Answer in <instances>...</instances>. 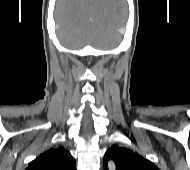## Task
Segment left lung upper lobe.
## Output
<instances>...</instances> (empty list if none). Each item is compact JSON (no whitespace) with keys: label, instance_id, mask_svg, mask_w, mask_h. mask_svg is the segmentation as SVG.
I'll return each instance as SVG.
<instances>
[{"label":"left lung upper lobe","instance_id":"left-lung-upper-lobe-1","mask_svg":"<svg viewBox=\"0 0 190 170\" xmlns=\"http://www.w3.org/2000/svg\"><path fill=\"white\" fill-rule=\"evenodd\" d=\"M108 160H113L116 170H159L148 159L130 149L113 145L104 155V166L106 169Z\"/></svg>","mask_w":190,"mask_h":170}]
</instances>
